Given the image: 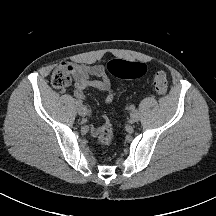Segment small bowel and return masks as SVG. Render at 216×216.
<instances>
[{"instance_id":"c3829d8e","label":"small bowel","mask_w":216,"mask_h":216,"mask_svg":"<svg viewBox=\"0 0 216 216\" xmlns=\"http://www.w3.org/2000/svg\"><path fill=\"white\" fill-rule=\"evenodd\" d=\"M70 70V74L74 81V97L78 100H84V89L88 87L95 88L105 93L104 102L109 104L114 99V91L111 83L105 73V68L99 64H65ZM93 136H96L97 130L91 131Z\"/></svg>"}]
</instances>
